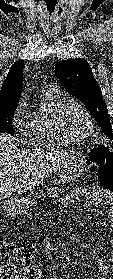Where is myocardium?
<instances>
[{
    "instance_id": "f54148a6",
    "label": "myocardium",
    "mask_w": 113,
    "mask_h": 279,
    "mask_svg": "<svg viewBox=\"0 0 113 279\" xmlns=\"http://www.w3.org/2000/svg\"><path fill=\"white\" fill-rule=\"evenodd\" d=\"M76 105L78 106L81 111L84 113L85 117L87 118L88 124H89V130L87 134L80 138H75L68 136L65 131L63 130V127L61 126V118L63 116L64 110L69 105ZM52 128L54 130L56 138L63 143L66 144H81L88 140L91 136H93L95 132V122L91 115V113L88 111V109L78 100L74 98H66L63 99L59 105L56 107V109L53 112L52 115Z\"/></svg>"
}]
</instances>
